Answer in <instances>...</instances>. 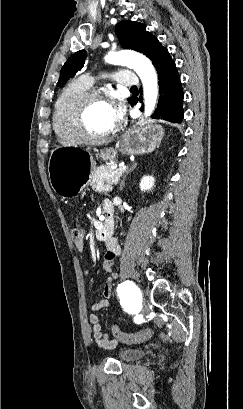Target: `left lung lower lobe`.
Wrapping results in <instances>:
<instances>
[{
  "mask_svg": "<svg viewBox=\"0 0 243 409\" xmlns=\"http://www.w3.org/2000/svg\"><path fill=\"white\" fill-rule=\"evenodd\" d=\"M157 73L159 76L160 96L157 109L152 117L173 123H181L184 115L182 107L183 90L174 61L158 69ZM137 102L138 99L134 97L131 105L133 106ZM141 111H143V106L141 107Z\"/></svg>",
  "mask_w": 243,
  "mask_h": 409,
  "instance_id": "0a47b994",
  "label": "left lung lower lobe"
}]
</instances>
